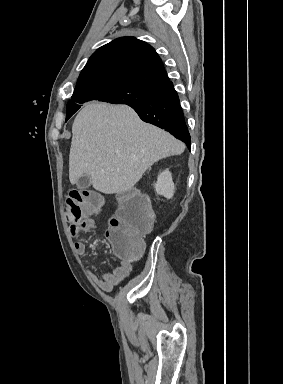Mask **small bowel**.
Returning <instances> with one entry per match:
<instances>
[{"label":"small bowel","mask_w":283,"mask_h":384,"mask_svg":"<svg viewBox=\"0 0 283 384\" xmlns=\"http://www.w3.org/2000/svg\"><path fill=\"white\" fill-rule=\"evenodd\" d=\"M93 226L94 220L91 218H86L79 225H71L70 233L72 236H78L82 232L90 231ZM74 247L77 254L83 255L86 253V244L83 241L75 242ZM131 269L132 266L129 261H121L111 273H103L101 278H98L93 273H90V276L101 289L104 291H110L130 274Z\"/></svg>","instance_id":"1"}]
</instances>
